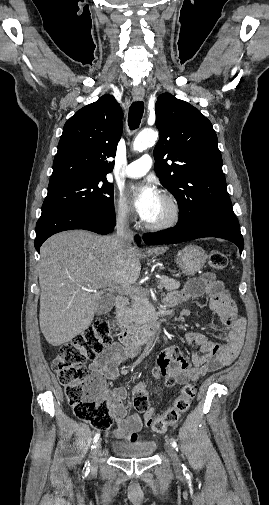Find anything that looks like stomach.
Segmentation results:
<instances>
[{
  "label": "stomach",
  "instance_id": "stomach-1",
  "mask_svg": "<svg viewBox=\"0 0 269 505\" xmlns=\"http://www.w3.org/2000/svg\"><path fill=\"white\" fill-rule=\"evenodd\" d=\"M207 254L199 246L188 245L182 249L176 258V263L183 274L192 275L206 263Z\"/></svg>",
  "mask_w": 269,
  "mask_h": 505
}]
</instances>
